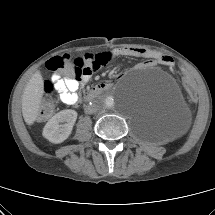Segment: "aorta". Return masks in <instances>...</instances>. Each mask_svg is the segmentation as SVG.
Segmentation results:
<instances>
[{
    "label": "aorta",
    "instance_id": "762f6f07",
    "mask_svg": "<svg viewBox=\"0 0 215 215\" xmlns=\"http://www.w3.org/2000/svg\"><path fill=\"white\" fill-rule=\"evenodd\" d=\"M118 100L115 94L106 93L100 95L95 104L100 110H112L117 108Z\"/></svg>",
    "mask_w": 215,
    "mask_h": 215
}]
</instances>
